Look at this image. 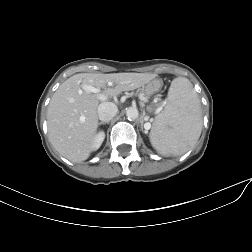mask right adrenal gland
<instances>
[{
  "label": "right adrenal gland",
  "mask_w": 252,
  "mask_h": 252,
  "mask_svg": "<svg viewBox=\"0 0 252 252\" xmlns=\"http://www.w3.org/2000/svg\"><path fill=\"white\" fill-rule=\"evenodd\" d=\"M105 124H108V122L107 123H105V122H99V125H105Z\"/></svg>",
  "instance_id": "1"
}]
</instances>
